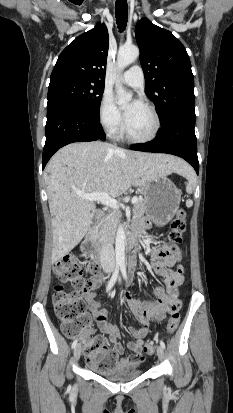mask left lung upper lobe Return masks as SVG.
<instances>
[{"label":"left lung upper lobe","mask_w":233,"mask_h":413,"mask_svg":"<svg viewBox=\"0 0 233 413\" xmlns=\"http://www.w3.org/2000/svg\"><path fill=\"white\" fill-rule=\"evenodd\" d=\"M146 91L164 122L176 114L195 117L194 78L183 44L168 30L141 19L135 28Z\"/></svg>","instance_id":"5c2ea615"}]
</instances>
